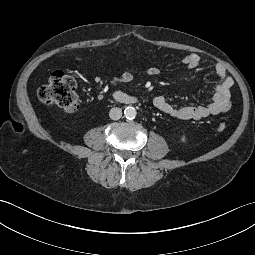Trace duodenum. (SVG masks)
Wrapping results in <instances>:
<instances>
[{
  "instance_id": "410a0bca",
  "label": "duodenum",
  "mask_w": 255,
  "mask_h": 255,
  "mask_svg": "<svg viewBox=\"0 0 255 255\" xmlns=\"http://www.w3.org/2000/svg\"><path fill=\"white\" fill-rule=\"evenodd\" d=\"M114 97L115 99H117L118 101L122 102V103H126V104H134L137 102V98L131 95H128L124 92L121 91H117L114 93Z\"/></svg>"
}]
</instances>
